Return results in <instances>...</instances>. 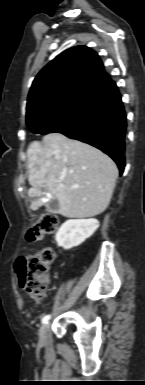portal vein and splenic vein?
Masks as SVG:
<instances>
[{"mask_svg":"<svg viewBox=\"0 0 145 385\" xmlns=\"http://www.w3.org/2000/svg\"><path fill=\"white\" fill-rule=\"evenodd\" d=\"M60 187H64V185H60Z\"/></svg>","mask_w":145,"mask_h":385,"instance_id":"portal-vein-and-splenic-vein-1","label":"portal vein and splenic vein"}]
</instances>
